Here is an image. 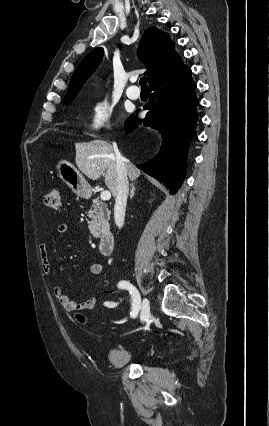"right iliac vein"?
Instances as JSON below:
<instances>
[{"label":"right iliac vein","instance_id":"right-iliac-vein-1","mask_svg":"<svg viewBox=\"0 0 269 426\" xmlns=\"http://www.w3.org/2000/svg\"><path fill=\"white\" fill-rule=\"evenodd\" d=\"M150 315V303L148 299L144 298L142 305H141V313H140V319L142 322H145Z\"/></svg>","mask_w":269,"mask_h":426}]
</instances>
